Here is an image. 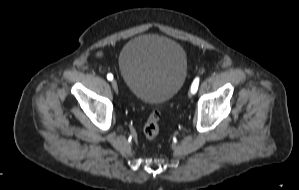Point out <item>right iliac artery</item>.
<instances>
[{
  "label": "right iliac artery",
  "instance_id": "82829eb1",
  "mask_svg": "<svg viewBox=\"0 0 299 190\" xmlns=\"http://www.w3.org/2000/svg\"><path fill=\"white\" fill-rule=\"evenodd\" d=\"M107 79L111 81V80L113 79V75H112L111 73H109V74L107 75Z\"/></svg>",
  "mask_w": 299,
  "mask_h": 190
}]
</instances>
